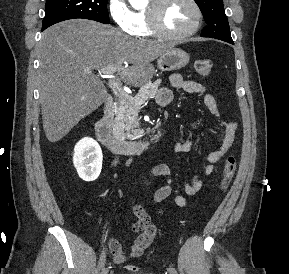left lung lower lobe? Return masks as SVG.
<instances>
[{"label":"left lung lower lobe","instance_id":"0a47b994","mask_svg":"<svg viewBox=\"0 0 289 274\" xmlns=\"http://www.w3.org/2000/svg\"><path fill=\"white\" fill-rule=\"evenodd\" d=\"M226 42L231 43V44H234V43H233V40H229V41H226Z\"/></svg>","mask_w":289,"mask_h":274}]
</instances>
